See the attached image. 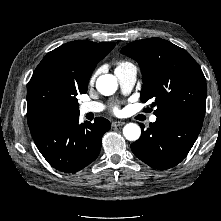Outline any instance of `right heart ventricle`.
Wrapping results in <instances>:
<instances>
[{
    "instance_id": "right-heart-ventricle-1",
    "label": "right heart ventricle",
    "mask_w": 221,
    "mask_h": 221,
    "mask_svg": "<svg viewBox=\"0 0 221 221\" xmlns=\"http://www.w3.org/2000/svg\"><path fill=\"white\" fill-rule=\"evenodd\" d=\"M126 64H128V63L127 62H120L117 64L116 69L121 68V67L125 66Z\"/></svg>"
}]
</instances>
